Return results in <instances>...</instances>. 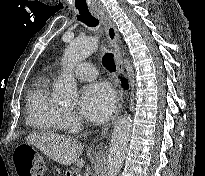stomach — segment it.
<instances>
[{
    "instance_id": "1",
    "label": "stomach",
    "mask_w": 205,
    "mask_h": 176,
    "mask_svg": "<svg viewBox=\"0 0 205 176\" xmlns=\"http://www.w3.org/2000/svg\"><path fill=\"white\" fill-rule=\"evenodd\" d=\"M26 146H28V148H30L31 150H34V148L32 146H30V145H26Z\"/></svg>"
}]
</instances>
